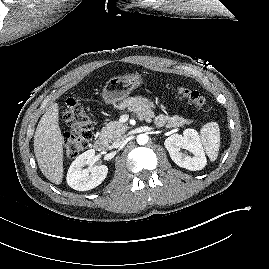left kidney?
Segmentation results:
<instances>
[{
	"label": "left kidney",
	"instance_id": "5707ae66",
	"mask_svg": "<svg viewBox=\"0 0 269 269\" xmlns=\"http://www.w3.org/2000/svg\"><path fill=\"white\" fill-rule=\"evenodd\" d=\"M165 148L173 162L190 171L202 170L206 166V157L198 132L186 129L183 135L173 134L164 142ZM182 149H186L193 156H188Z\"/></svg>",
	"mask_w": 269,
	"mask_h": 269
}]
</instances>
